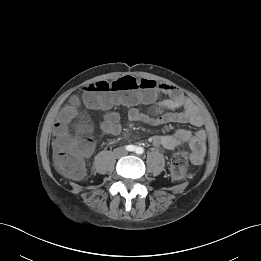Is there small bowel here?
Listing matches in <instances>:
<instances>
[{"instance_id": "1", "label": "small bowel", "mask_w": 261, "mask_h": 261, "mask_svg": "<svg viewBox=\"0 0 261 261\" xmlns=\"http://www.w3.org/2000/svg\"><path fill=\"white\" fill-rule=\"evenodd\" d=\"M158 91L167 96L159 102L148 101L150 103L147 111H141L137 107H130L127 118L132 122H141L149 125H165L168 123L191 124L198 130L192 132L186 129H178L173 134L155 135L151 141L154 146L168 150L186 145L191 150V161L194 165H199L206 154L207 134L203 129L205 119L197 106L192 103L179 89L171 85L162 84ZM109 102L103 105L105 109L102 129L108 135H117L122 130L121 114L111 109L114 104L112 97H106ZM77 114V107L72 106ZM73 120L68 122L71 126ZM63 125V118L56 124L57 129ZM83 132L89 133V124L81 127ZM94 144L89 143L84 157H89L94 151Z\"/></svg>"}]
</instances>
